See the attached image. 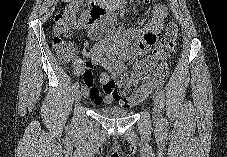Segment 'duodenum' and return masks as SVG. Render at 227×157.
I'll use <instances>...</instances> for the list:
<instances>
[{
  "label": "duodenum",
  "mask_w": 227,
  "mask_h": 157,
  "mask_svg": "<svg viewBox=\"0 0 227 157\" xmlns=\"http://www.w3.org/2000/svg\"><path fill=\"white\" fill-rule=\"evenodd\" d=\"M87 8L90 9V20H87L90 32L116 30L117 17L114 14L107 13L102 0H91Z\"/></svg>",
  "instance_id": "duodenum-1"
}]
</instances>
